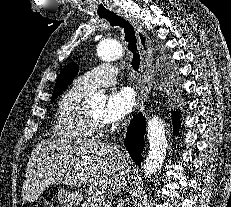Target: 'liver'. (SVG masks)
<instances>
[{
	"instance_id": "liver-1",
	"label": "liver",
	"mask_w": 231,
	"mask_h": 207,
	"mask_svg": "<svg viewBox=\"0 0 231 207\" xmlns=\"http://www.w3.org/2000/svg\"><path fill=\"white\" fill-rule=\"evenodd\" d=\"M120 155L119 148L95 140H43L27 164L22 200L34 201L52 184L117 193L127 185L130 173Z\"/></svg>"
}]
</instances>
